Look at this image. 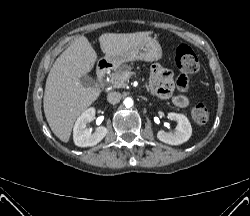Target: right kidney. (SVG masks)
Masks as SVG:
<instances>
[{
  "instance_id": "right-kidney-1",
  "label": "right kidney",
  "mask_w": 250,
  "mask_h": 216,
  "mask_svg": "<svg viewBox=\"0 0 250 216\" xmlns=\"http://www.w3.org/2000/svg\"><path fill=\"white\" fill-rule=\"evenodd\" d=\"M95 116V108L91 107L85 110L81 116L77 118L73 128V140L75 145L79 147H89L98 144L108 133L106 127H97L94 133L86 128V124L91 122Z\"/></svg>"
}]
</instances>
